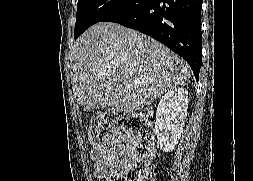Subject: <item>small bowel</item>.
Wrapping results in <instances>:
<instances>
[{"label":"small bowel","instance_id":"small-bowel-1","mask_svg":"<svg viewBox=\"0 0 253 181\" xmlns=\"http://www.w3.org/2000/svg\"><path fill=\"white\" fill-rule=\"evenodd\" d=\"M126 147L121 146L117 149L97 148L92 150L91 159L94 162V172L99 179L108 180V177L117 172L121 165V157L126 153Z\"/></svg>","mask_w":253,"mask_h":181}]
</instances>
